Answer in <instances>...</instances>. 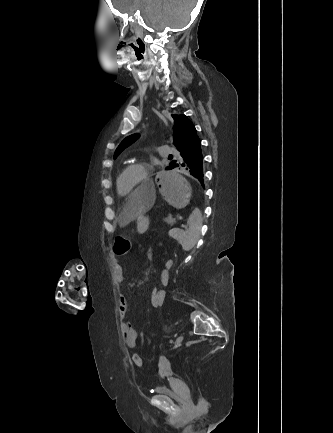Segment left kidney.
<instances>
[{
    "instance_id": "left-kidney-1",
    "label": "left kidney",
    "mask_w": 333,
    "mask_h": 433,
    "mask_svg": "<svg viewBox=\"0 0 333 433\" xmlns=\"http://www.w3.org/2000/svg\"><path fill=\"white\" fill-rule=\"evenodd\" d=\"M175 230V228L174 229H171L170 231H169V234L171 233V232H173Z\"/></svg>"
}]
</instances>
